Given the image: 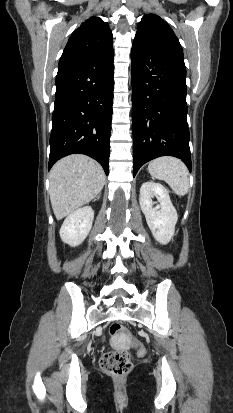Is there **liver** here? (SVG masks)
I'll return each mask as SVG.
<instances>
[{"mask_svg":"<svg viewBox=\"0 0 233 413\" xmlns=\"http://www.w3.org/2000/svg\"><path fill=\"white\" fill-rule=\"evenodd\" d=\"M104 183V171L92 158L74 154L59 160L50 171L49 188L56 219L89 203L101 192Z\"/></svg>","mask_w":233,"mask_h":413,"instance_id":"obj_1","label":"liver"}]
</instances>
